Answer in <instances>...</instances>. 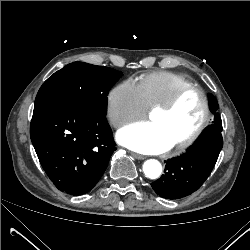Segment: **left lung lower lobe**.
Masks as SVG:
<instances>
[{"mask_svg":"<svg viewBox=\"0 0 250 250\" xmlns=\"http://www.w3.org/2000/svg\"><path fill=\"white\" fill-rule=\"evenodd\" d=\"M223 146L221 130L208 127L183 155L166 162L164 175L151 183L166 199H178L197 190L211 173Z\"/></svg>","mask_w":250,"mask_h":250,"instance_id":"0a47b994","label":"left lung lower lobe"}]
</instances>
